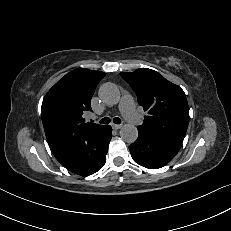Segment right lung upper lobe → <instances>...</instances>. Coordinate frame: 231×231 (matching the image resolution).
Here are the masks:
<instances>
[{"mask_svg":"<svg viewBox=\"0 0 231 231\" xmlns=\"http://www.w3.org/2000/svg\"><path fill=\"white\" fill-rule=\"evenodd\" d=\"M104 72L78 68L67 73L46 94L42 121L51 150L60 159L73 154L81 136L103 125L85 122L83 114L92 111L91 98Z\"/></svg>","mask_w":231,"mask_h":231,"instance_id":"cb5924a9","label":"right lung upper lobe"}]
</instances>
